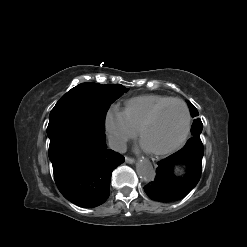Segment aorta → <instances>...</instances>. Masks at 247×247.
<instances>
[{
  "label": "aorta",
  "mask_w": 247,
  "mask_h": 247,
  "mask_svg": "<svg viewBox=\"0 0 247 247\" xmlns=\"http://www.w3.org/2000/svg\"><path fill=\"white\" fill-rule=\"evenodd\" d=\"M137 174L145 182H152L155 179L156 173L150 161L143 159L138 161Z\"/></svg>",
  "instance_id": "aorta-1"
}]
</instances>
